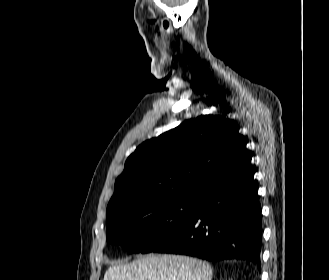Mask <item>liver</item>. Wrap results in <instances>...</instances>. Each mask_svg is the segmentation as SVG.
Returning a JSON list of instances; mask_svg holds the SVG:
<instances>
[{"mask_svg": "<svg viewBox=\"0 0 329 280\" xmlns=\"http://www.w3.org/2000/svg\"><path fill=\"white\" fill-rule=\"evenodd\" d=\"M209 263L183 255L148 254L131 263L118 262L105 272L104 280H211Z\"/></svg>", "mask_w": 329, "mask_h": 280, "instance_id": "1", "label": "liver"}]
</instances>
